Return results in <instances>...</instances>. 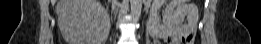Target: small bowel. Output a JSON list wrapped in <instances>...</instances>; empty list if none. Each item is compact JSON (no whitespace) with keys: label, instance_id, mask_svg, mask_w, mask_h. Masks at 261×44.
I'll use <instances>...</instances> for the list:
<instances>
[{"label":"small bowel","instance_id":"obj_1","mask_svg":"<svg viewBox=\"0 0 261 44\" xmlns=\"http://www.w3.org/2000/svg\"><path fill=\"white\" fill-rule=\"evenodd\" d=\"M189 2V5H186ZM163 1L153 3L149 15V33L157 41H168L180 38L183 43L192 44L195 38L198 23V8L190 1L174 0L166 5L162 23L159 12ZM186 21V22H185Z\"/></svg>","mask_w":261,"mask_h":44}]
</instances>
